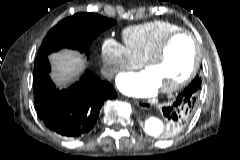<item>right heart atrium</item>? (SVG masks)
Listing matches in <instances>:
<instances>
[{
  "mask_svg": "<svg viewBox=\"0 0 240 160\" xmlns=\"http://www.w3.org/2000/svg\"><path fill=\"white\" fill-rule=\"evenodd\" d=\"M102 70L106 78H113L122 71L136 67L124 45L113 39H106L101 46Z\"/></svg>",
  "mask_w": 240,
  "mask_h": 160,
  "instance_id": "right-heart-atrium-1",
  "label": "right heart atrium"
}]
</instances>
